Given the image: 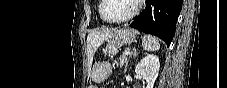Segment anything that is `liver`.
I'll use <instances>...</instances> for the list:
<instances>
[{
    "mask_svg": "<svg viewBox=\"0 0 227 88\" xmlns=\"http://www.w3.org/2000/svg\"><path fill=\"white\" fill-rule=\"evenodd\" d=\"M113 35L111 30H94L87 36V55L91 64L93 57L99 46Z\"/></svg>",
    "mask_w": 227,
    "mask_h": 88,
    "instance_id": "obj_1",
    "label": "liver"
}]
</instances>
